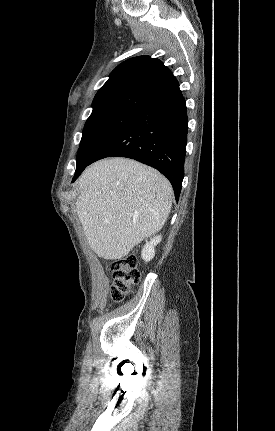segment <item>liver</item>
<instances>
[{"mask_svg": "<svg viewBox=\"0 0 275 431\" xmlns=\"http://www.w3.org/2000/svg\"><path fill=\"white\" fill-rule=\"evenodd\" d=\"M78 187L75 210L87 242L107 260L123 258L160 231L172 207L170 182L157 170L127 158L92 164Z\"/></svg>", "mask_w": 275, "mask_h": 431, "instance_id": "6515ba94", "label": "liver"}]
</instances>
